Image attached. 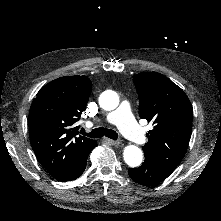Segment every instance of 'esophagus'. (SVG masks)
Wrapping results in <instances>:
<instances>
[{"instance_id":"1","label":"esophagus","mask_w":221,"mask_h":221,"mask_svg":"<svg viewBox=\"0 0 221 221\" xmlns=\"http://www.w3.org/2000/svg\"><path fill=\"white\" fill-rule=\"evenodd\" d=\"M105 142H108L109 144L111 145H119L120 142L119 141H115V140H112V139H109V138H104L103 139Z\"/></svg>"}]
</instances>
